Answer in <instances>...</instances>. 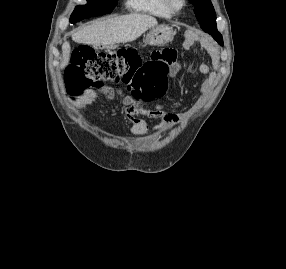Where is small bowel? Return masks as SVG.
<instances>
[{
	"label": "small bowel",
	"instance_id": "1",
	"mask_svg": "<svg viewBox=\"0 0 286 269\" xmlns=\"http://www.w3.org/2000/svg\"><path fill=\"white\" fill-rule=\"evenodd\" d=\"M193 46V41L190 40L185 43V48L191 49ZM207 50L211 56H215V51L213 48L206 46ZM172 73L177 72L183 65L181 61L175 56L169 63ZM216 65L214 63L200 62L198 69L199 72L206 76V78L201 82L199 91L200 98L198 104L200 105L208 91L210 90L212 84L215 81L214 69ZM126 106L123 109L124 117L131 124L130 133L133 136H141L148 133L149 127L147 119L155 120L158 125L163 129H172L181 125L186 119L187 115L185 113H174L164 110L160 103L153 104L151 107H147L141 103H135L132 100L125 98Z\"/></svg>",
	"mask_w": 286,
	"mask_h": 269
}]
</instances>
